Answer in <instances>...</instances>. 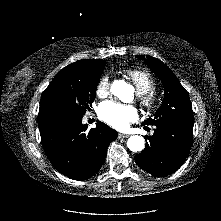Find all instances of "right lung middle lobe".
Instances as JSON below:
<instances>
[{
    "label": "right lung middle lobe",
    "mask_w": 221,
    "mask_h": 221,
    "mask_svg": "<svg viewBox=\"0 0 221 221\" xmlns=\"http://www.w3.org/2000/svg\"><path fill=\"white\" fill-rule=\"evenodd\" d=\"M102 71L74 64L60 70L42 94L39 114L56 121L83 116L96 96Z\"/></svg>",
    "instance_id": "obj_1"
}]
</instances>
